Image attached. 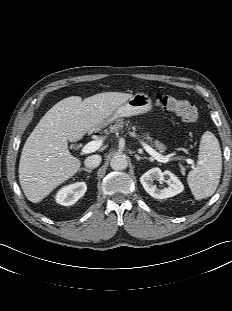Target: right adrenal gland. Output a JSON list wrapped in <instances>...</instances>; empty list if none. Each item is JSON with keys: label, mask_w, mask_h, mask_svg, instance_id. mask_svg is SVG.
<instances>
[{"label": "right adrenal gland", "mask_w": 232, "mask_h": 311, "mask_svg": "<svg viewBox=\"0 0 232 311\" xmlns=\"http://www.w3.org/2000/svg\"><path fill=\"white\" fill-rule=\"evenodd\" d=\"M79 171H86L88 173L92 172V169H87V168H80Z\"/></svg>", "instance_id": "obj_1"}]
</instances>
